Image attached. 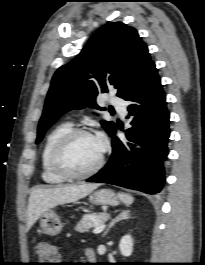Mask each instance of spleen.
I'll list each match as a JSON object with an SVG mask.
<instances>
[{
    "mask_svg": "<svg viewBox=\"0 0 205 265\" xmlns=\"http://www.w3.org/2000/svg\"><path fill=\"white\" fill-rule=\"evenodd\" d=\"M118 197L126 206H130L134 201V198L127 193H118Z\"/></svg>",
    "mask_w": 205,
    "mask_h": 265,
    "instance_id": "spleen-1",
    "label": "spleen"
}]
</instances>
